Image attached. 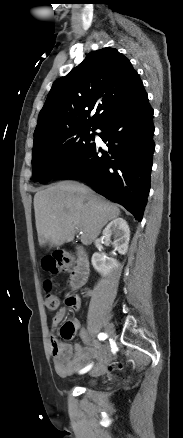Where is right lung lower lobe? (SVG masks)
<instances>
[{"label": "right lung lower lobe", "instance_id": "right-lung-lower-lobe-1", "mask_svg": "<svg viewBox=\"0 0 183 438\" xmlns=\"http://www.w3.org/2000/svg\"><path fill=\"white\" fill-rule=\"evenodd\" d=\"M97 129L102 130L98 135L107 143L108 151L92 143L54 179L78 178L141 221L150 190L155 149L153 109L147 93L115 111Z\"/></svg>", "mask_w": 183, "mask_h": 438}]
</instances>
